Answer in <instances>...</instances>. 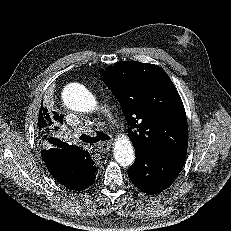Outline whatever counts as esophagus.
<instances>
[{
  "label": "esophagus",
  "instance_id": "obj_1",
  "mask_svg": "<svg viewBox=\"0 0 231 231\" xmlns=\"http://www.w3.org/2000/svg\"><path fill=\"white\" fill-rule=\"evenodd\" d=\"M111 142H101L98 144V150L101 153H107L111 148Z\"/></svg>",
  "mask_w": 231,
  "mask_h": 231
}]
</instances>
